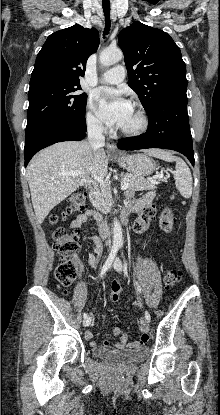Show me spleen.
<instances>
[{"mask_svg":"<svg viewBox=\"0 0 220 415\" xmlns=\"http://www.w3.org/2000/svg\"><path fill=\"white\" fill-rule=\"evenodd\" d=\"M148 154L167 162L176 163L174 173L176 188L184 198H190L192 195V175L187 164L181 158L164 150L152 149L148 151Z\"/></svg>","mask_w":220,"mask_h":415,"instance_id":"1","label":"spleen"}]
</instances>
